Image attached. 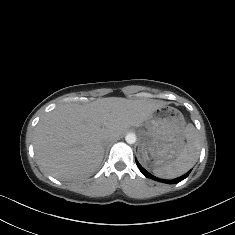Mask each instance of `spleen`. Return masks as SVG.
Instances as JSON below:
<instances>
[{"instance_id":"3e777b00","label":"spleen","mask_w":235,"mask_h":235,"mask_svg":"<svg viewBox=\"0 0 235 235\" xmlns=\"http://www.w3.org/2000/svg\"><path fill=\"white\" fill-rule=\"evenodd\" d=\"M185 137L187 144L176 159L153 169L157 177L173 179L185 174L196 164L199 157V141L193 124L186 126Z\"/></svg>"}]
</instances>
